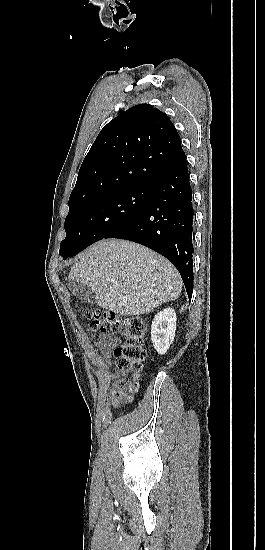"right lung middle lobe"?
Returning <instances> with one entry per match:
<instances>
[{
	"instance_id": "right-lung-middle-lobe-1",
	"label": "right lung middle lobe",
	"mask_w": 265,
	"mask_h": 550,
	"mask_svg": "<svg viewBox=\"0 0 265 550\" xmlns=\"http://www.w3.org/2000/svg\"><path fill=\"white\" fill-rule=\"evenodd\" d=\"M153 186L116 191L90 200L69 204L65 219L66 238L60 252L64 259L135 219L146 207Z\"/></svg>"
}]
</instances>
